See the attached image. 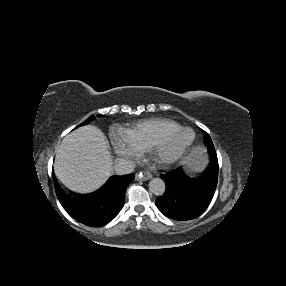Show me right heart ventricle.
<instances>
[{"label":"right heart ventricle","instance_id":"1","mask_svg":"<svg viewBox=\"0 0 286 286\" xmlns=\"http://www.w3.org/2000/svg\"><path fill=\"white\" fill-rule=\"evenodd\" d=\"M182 126L171 119L152 118L134 123L127 131L141 150L149 149L154 143L165 139Z\"/></svg>","mask_w":286,"mask_h":286}]
</instances>
